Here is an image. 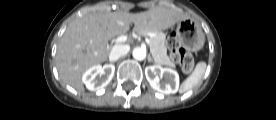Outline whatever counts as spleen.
Segmentation results:
<instances>
[{"instance_id": "spleen-1", "label": "spleen", "mask_w": 276, "mask_h": 120, "mask_svg": "<svg viewBox=\"0 0 276 120\" xmlns=\"http://www.w3.org/2000/svg\"><path fill=\"white\" fill-rule=\"evenodd\" d=\"M206 66L205 62L197 63L192 74L182 82L179 92L185 93L196 86L201 81L205 73Z\"/></svg>"}]
</instances>
